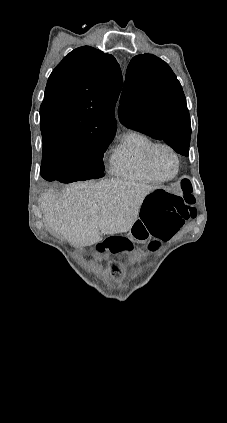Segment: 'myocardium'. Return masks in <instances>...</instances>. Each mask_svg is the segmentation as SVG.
I'll list each match as a JSON object with an SVG mask.
<instances>
[{"mask_svg":"<svg viewBox=\"0 0 227 423\" xmlns=\"http://www.w3.org/2000/svg\"><path fill=\"white\" fill-rule=\"evenodd\" d=\"M159 148H164V149L168 150L169 152H171V154L173 155V157L175 159L176 170H175V173L171 177H168V178L162 177L161 175H159L157 173V171L153 167L152 156H153V153L155 152V150H157ZM144 162H145V166H146L147 170L149 171V173L161 182L172 181L173 179H175L178 176V174L180 172V165H181L180 156H179L178 152L175 150V148H173L171 145L166 144V143H153L152 145H150L145 152Z\"/></svg>","mask_w":227,"mask_h":423,"instance_id":"myocardium-1","label":"myocardium"}]
</instances>
